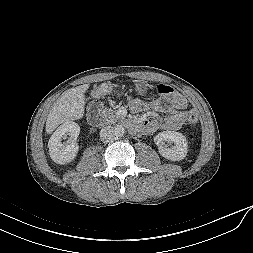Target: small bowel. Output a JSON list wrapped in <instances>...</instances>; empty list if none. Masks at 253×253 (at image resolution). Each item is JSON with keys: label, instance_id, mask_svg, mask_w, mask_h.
Here are the masks:
<instances>
[{"label": "small bowel", "instance_id": "c3829d8e", "mask_svg": "<svg viewBox=\"0 0 253 253\" xmlns=\"http://www.w3.org/2000/svg\"><path fill=\"white\" fill-rule=\"evenodd\" d=\"M130 109L133 113L152 109L169 115L168 119L163 122L154 118L142 119L139 126L147 133H154L159 130H178L187 117V101L178 92H174L170 96H163L150 103L134 99L130 102Z\"/></svg>", "mask_w": 253, "mask_h": 253}]
</instances>
